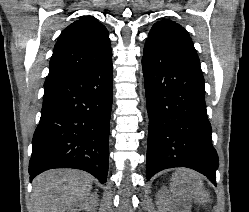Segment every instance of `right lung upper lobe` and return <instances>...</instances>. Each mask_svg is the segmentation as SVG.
Listing matches in <instances>:
<instances>
[{"instance_id": "1", "label": "right lung upper lobe", "mask_w": 249, "mask_h": 212, "mask_svg": "<svg viewBox=\"0 0 249 212\" xmlns=\"http://www.w3.org/2000/svg\"><path fill=\"white\" fill-rule=\"evenodd\" d=\"M111 57L107 29L93 16L81 17L60 34L44 85L87 72Z\"/></svg>"}]
</instances>
